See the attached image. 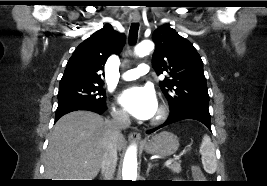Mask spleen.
Instances as JSON below:
<instances>
[{
    "mask_svg": "<svg viewBox=\"0 0 267 186\" xmlns=\"http://www.w3.org/2000/svg\"><path fill=\"white\" fill-rule=\"evenodd\" d=\"M200 154L202 155V164L204 169L208 173H214L217 168L215 147L208 135H204L203 137L200 146Z\"/></svg>",
    "mask_w": 267,
    "mask_h": 186,
    "instance_id": "1",
    "label": "spleen"
}]
</instances>
